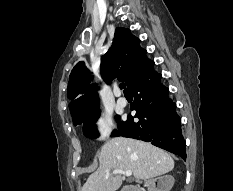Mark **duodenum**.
<instances>
[{
	"label": "duodenum",
	"mask_w": 233,
	"mask_h": 191,
	"mask_svg": "<svg viewBox=\"0 0 233 191\" xmlns=\"http://www.w3.org/2000/svg\"><path fill=\"white\" fill-rule=\"evenodd\" d=\"M125 191H141V190H140V188H138L136 186H130Z\"/></svg>",
	"instance_id": "obj_1"
}]
</instances>
